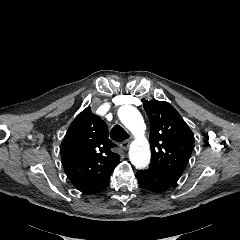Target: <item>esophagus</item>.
Masks as SVG:
<instances>
[{
    "mask_svg": "<svg viewBox=\"0 0 240 240\" xmlns=\"http://www.w3.org/2000/svg\"><path fill=\"white\" fill-rule=\"evenodd\" d=\"M129 144H130L129 141L125 140V141L121 142L120 146H121L122 149L127 150L128 147H129Z\"/></svg>",
    "mask_w": 240,
    "mask_h": 240,
    "instance_id": "obj_1",
    "label": "esophagus"
}]
</instances>
